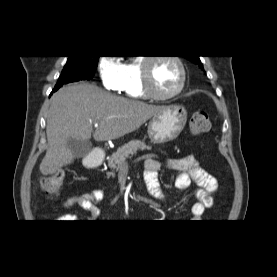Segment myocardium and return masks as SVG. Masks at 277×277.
<instances>
[{
    "instance_id": "1",
    "label": "myocardium",
    "mask_w": 277,
    "mask_h": 277,
    "mask_svg": "<svg viewBox=\"0 0 277 277\" xmlns=\"http://www.w3.org/2000/svg\"><path fill=\"white\" fill-rule=\"evenodd\" d=\"M159 59H167L173 61L179 68L180 81L177 88L169 94H159L155 91L152 84V66ZM187 72L185 65L180 57L176 55H162L158 57H147L142 61L141 67V84L144 94L155 100H169L178 96L184 89L186 84Z\"/></svg>"
}]
</instances>
